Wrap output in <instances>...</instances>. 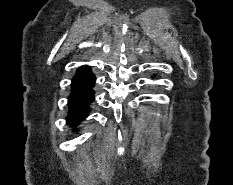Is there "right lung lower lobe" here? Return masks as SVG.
Instances as JSON below:
<instances>
[{"label":"right lung lower lobe","mask_w":233,"mask_h":185,"mask_svg":"<svg viewBox=\"0 0 233 185\" xmlns=\"http://www.w3.org/2000/svg\"><path fill=\"white\" fill-rule=\"evenodd\" d=\"M89 70V66L79 68L72 79L67 120L74 128L88 116L89 106L94 101L93 87L96 78Z\"/></svg>","instance_id":"obj_1"}]
</instances>
